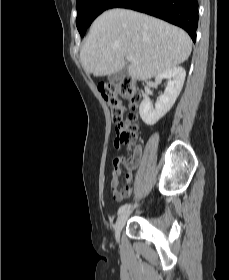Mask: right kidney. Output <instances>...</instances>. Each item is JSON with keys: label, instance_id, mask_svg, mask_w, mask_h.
Returning a JSON list of instances; mask_svg holds the SVG:
<instances>
[{"label": "right kidney", "instance_id": "1", "mask_svg": "<svg viewBox=\"0 0 229 280\" xmlns=\"http://www.w3.org/2000/svg\"><path fill=\"white\" fill-rule=\"evenodd\" d=\"M185 77V69L179 66L168 69L156 76L155 80L157 82L168 79V85L155 103V108L147 98L141 102L139 114L144 123L154 125L172 108L182 90Z\"/></svg>", "mask_w": 229, "mask_h": 280}]
</instances>
